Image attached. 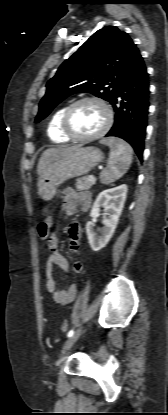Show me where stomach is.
<instances>
[{
    "label": "stomach",
    "mask_w": 168,
    "mask_h": 415,
    "mask_svg": "<svg viewBox=\"0 0 168 415\" xmlns=\"http://www.w3.org/2000/svg\"><path fill=\"white\" fill-rule=\"evenodd\" d=\"M103 160L100 149L77 146L54 161L38 179V194L43 200H51L57 188L65 181L88 173Z\"/></svg>",
    "instance_id": "1"
}]
</instances>
